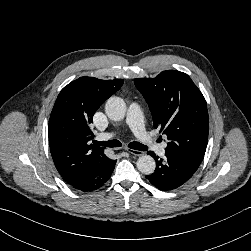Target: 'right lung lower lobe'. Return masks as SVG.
Listing matches in <instances>:
<instances>
[{"label":"right lung lower lobe","instance_id":"98d812e1","mask_svg":"<svg viewBox=\"0 0 251 251\" xmlns=\"http://www.w3.org/2000/svg\"><path fill=\"white\" fill-rule=\"evenodd\" d=\"M115 164L116 160H111L106 157L105 159L88 166L83 175L70 185L83 192L94 191L102 187L110 178Z\"/></svg>","mask_w":251,"mask_h":251}]
</instances>
